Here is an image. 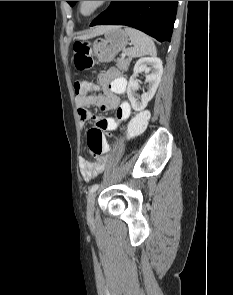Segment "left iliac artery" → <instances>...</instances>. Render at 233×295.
<instances>
[{
  "label": "left iliac artery",
  "mask_w": 233,
  "mask_h": 295,
  "mask_svg": "<svg viewBox=\"0 0 233 295\" xmlns=\"http://www.w3.org/2000/svg\"><path fill=\"white\" fill-rule=\"evenodd\" d=\"M98 188H99V184H94V185L89 189V192H90V193L95 192Z\"/></svg>",
  "instance_id": "44dca946"
}]
</instances>
